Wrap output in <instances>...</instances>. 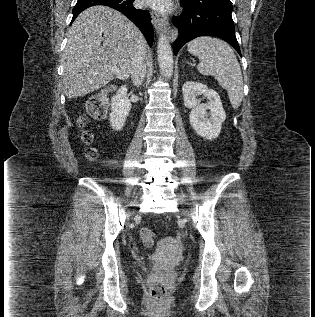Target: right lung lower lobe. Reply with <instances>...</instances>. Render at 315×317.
<instances>
[{
    "mask_svg": "<svg viewBox=\"0 0 315 317\" xmlns=\"http://www.w3.org/2000/svg\"><path fill=\"white\" fill-rule=\"evenodd\" d=\"M134 0H78L73 8V18H75L86 8L95 5H104L114 8L127 16L143 33L149 46L153 44V27L151 16L147 10L133 7Z\"/></svg>",
    "mask_w": 315,
    "mask_h": 317,
    "instance_id": "98d812e1",
    "label": "right lung lower lobe"
}]
</instances>
